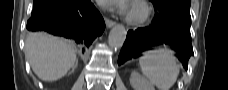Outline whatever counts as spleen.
I'll return each mask as SVG.
<instances>
[{
	"label": "spleen",
	"mask_w": 228,
	"mask_h": 90,
	"mask_svg": "<svg viewBox=\"0 0 228 90\" xmlns=\"http://www.w3.org/2000/svg\"><path fill=\"white\" fill-rule=\"evenodd\" d=\"M140 67L145 77L159 90H169L180 72L174 52L168 48L148 52L140 59Z\"/></svg>",
	"instance_id": "obj_1"
}]
</instances>
